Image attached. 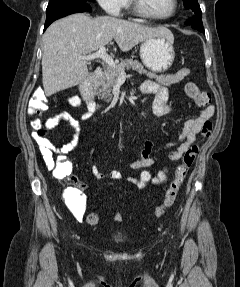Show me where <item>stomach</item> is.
<instances>
[{
    "label": "stomach",
    "instance_id": "stomach-1",
    "mask_svg": "<svg viewBox=\"0 0 240 287\" xmlns=\"http://www.w3.org/2000/svg\"><path fill=\"white\" fill-rule=\"evenodd\" d=\"M174 37L157 36L145 39L140 45V58L143 64L153 72L169 69L175 58Z\"/></svg>",
    "mask_w": 240,
    "mask_h": 287
}]
</instances>
